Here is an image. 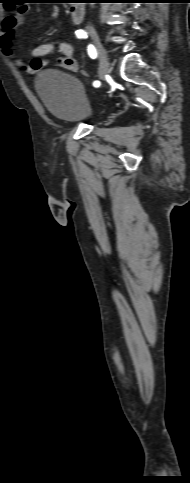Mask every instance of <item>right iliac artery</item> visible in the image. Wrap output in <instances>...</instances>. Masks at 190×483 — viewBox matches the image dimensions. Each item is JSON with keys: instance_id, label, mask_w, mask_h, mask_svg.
I'll return each mask as SVG.
<instances>
[{"instance_id": "obj_1", "label": "right iliac artery", "mask_w": 190, "mask_h": 483, "mask_svg": "<svg viewBox=\"0 0 190 483\" xmlns=\"http://www.w3.org/2000/svg\"><path fill=\"white\" fill-rule=\"evenodd\" d=\"M76 36L78 38H87V33L84 31V30H77L76 31ZM88 55L92 58V59H95L97 57V52H96V49L95 47L90 44L88 46ZM93 86L94 87H99L100 86V82L99 81H94L93 82Z\"/></svg>"}]
</instances>
